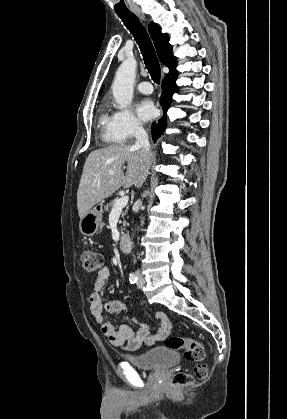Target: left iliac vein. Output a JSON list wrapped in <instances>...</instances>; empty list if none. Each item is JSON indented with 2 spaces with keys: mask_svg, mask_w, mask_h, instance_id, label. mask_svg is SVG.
<instances>
[{
  "mask_svg": "<svg viewBox=\"0 0 287 419\" xmlns=\"http://www.w3.org/2000/svg\"><path fill=\"white\" fill-rule=\"evenodd\" d=\"M144 283H145L144 278L140 276V277H139V281H138V283H137V287H138L139 289H141V288L144 286Z\"/></svg>",
  "mask_w": 287,
  "mask_h": 419,
  "instance_id": "left-iliac-vein-1",
  "label": "left iliac vein"
}]
</instances>
